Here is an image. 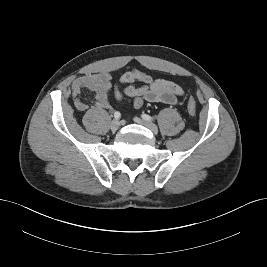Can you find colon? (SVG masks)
Returning <instances> with one entry per match:
<instances>
[{
    "label": "colon",
    "mask_w": 267,
    "mask_h": 267,
    "mask_svg": "<svg viewBox=\"0 0 267 267\" xmlns=\"http://www.w3.org/2000/svg\"><path fill=\"white\" fill-rule=\"evenodd\" d=\"M187 110L191 117L196 115V103L193 98H189L187 103Z\"/></svg>",
    "instance_id": "5ec220e1"
}]
</instances>
